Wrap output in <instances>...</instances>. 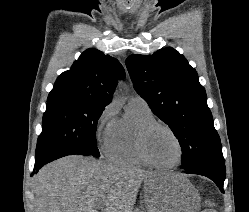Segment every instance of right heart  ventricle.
Wrapping results in <instances>:
<instances>
[{
  "instance_id": "right-heart-ventricle-1",
  "label": "right heart ventricle",
  "mask_w": 249,
  "mask_h": 212,
  "mask_svg": "<svg viewBox=\"0 0 249 212\" xmlns=\"http://www.w3.org/2000/svg\"><path fill=\"white\" fill-rule=\"evenodd\" d=\"M153 121H156V118L148 105L129 102L124 116L111 125L110 142L105 150L107 157L125 165L149 166L140 155L137 138L139 130Z\"/></svg>"
}]
</instances>
